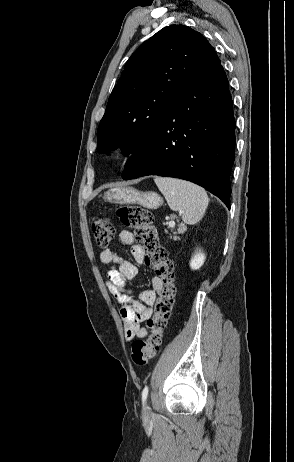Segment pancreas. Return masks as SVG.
<instances>
[{"mask_svg": "<svg viewBox=\"0 0 294 462\" xmlns=\"http://www.w3.org/2000/svg\"><path fill=\"white\" fill-rule=\"evenodd\" d=\"M185 231H186V226L184 224L179 225V228L177 229V231H173V234H174L173 239L177 240L178 237L176 236V234L177 233L178 234H183Z\"/></svg>", "mask_w": 294, "mask_h": 462, "instance_id": "pancreas-1", "label": "pancreas"}]
</instances>
